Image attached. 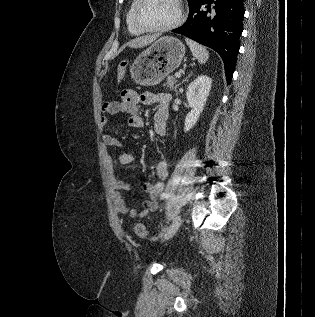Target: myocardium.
Returning a JSON list of instances; mask_svg holds the SVG:
<instances>
[{
    "label": "myocardium",
    "mask_w": 315,
    "mask_h": 317,
    "mask_svg": "<svg viewBox=\"0 0 315 317\" xmlns=\"http://www.w3.org/2000/svg\"><path fill=\"white\" fill-rule=\"evenodd\" d=\"M144 2V0H136L135 5L133 7L132 11V21L134 26L141 32H165L172 30L179 25H181L185 19V7L183 4V0H176L177 5H178V15L174 21L171 23L164 25V26H159V27H146L143 26L139 20H138V10L141 6V4Z\"/></svg>",
    "instance_id": "obj_1"
}]
</instances>
